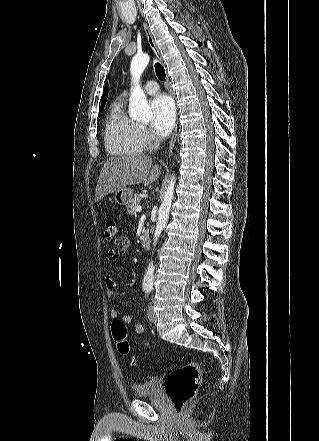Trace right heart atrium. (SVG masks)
I'll return each instance as SVG.
<instances>
[{
	"label": "right heart atrium",
	"mask_w": 319,
	"mask_h": 441,
	"mask_svg": "<svg viewBox=\"0 0 319 441\" xmlns=\"http://www.w3.org/2000/svg\"><path fill=\"white\" fill-rule=\"evenodd\" d=\"M139 138L144 148H150L155 143V137L151 131L143 125H139Z\"/></svg>",
	"instance_id": "obj_1"
}]
</instances>
